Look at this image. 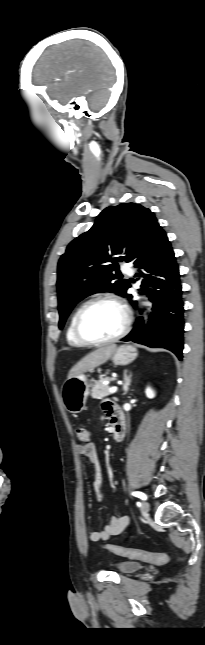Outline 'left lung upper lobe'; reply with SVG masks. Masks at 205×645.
<instances>
[{
	"label": "left lung upper lobe",
	"instance_id": "5c2ea615",
	"mask_svg": "<svg viewBox=\"0 0 205 645\" xmlns=\"http://www.w3.org/2000/svg\"><path fill=\"white\" fill-rule=\"evenodd\" d=\"M153 212L135 203L104 209L92 228L74 239L58 263L59 328L85 297L104 291L125 295L129 281H114L118 262H132L151 223ZM111 262V263H110Z\"/></svg>",
	"mask_w": 205,
	"mask_h": 645
}]
</instances>
